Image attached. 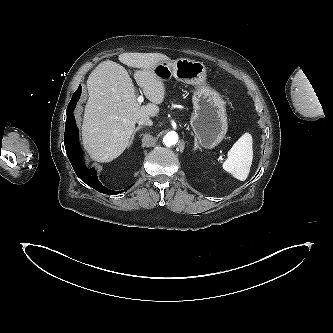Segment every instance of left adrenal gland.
Wrapping results in <instances>:
<instances>
[{
  "instance_id": "obj_1",
  "label": "left adrenal gland",
  "mask_w": 333,
  "mask_h": 333,
  "mask_svg": "<svg viewBox=\"0 0 333 333\" xmlns=\"http://www.w3.org/2000/svg\"><path fill=\"white\" fill-rule=\"evenodd\" d=\"M192 135H193V133H192ZM197 149H201V148L198 146L197 138L195 137V139H194V150H197Z\"/></svg>"
}]
</instances>
